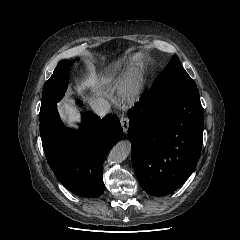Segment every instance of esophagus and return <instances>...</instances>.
Here are the masks:
<instances>
[{
    "mask_svg": "<svg viewBox=\"0 0 240 240\" xmlns=\"http://www.w3.org/2000/svg\"><path fill=\"white\" fill-rule=\"evenodd\" d=\"M120 123H121L123 131L126 133L129 128V125H130L129 118L126 116H122L120 119Z\"/></svg>",
    "mask_w": 240,
    "mask_h": 240,
    "instance_id": "obj_1",
    "label": "esophagus"
}]
</instances>
